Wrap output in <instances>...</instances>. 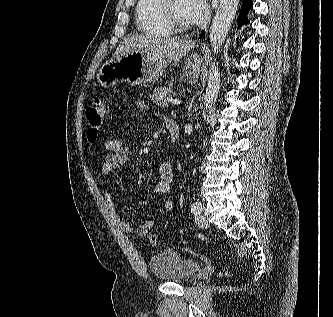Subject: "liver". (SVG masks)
<instances>
[{
    "label": "liver",
    "mask_w": 333,
    "mask_h": 317,
    "mask_svg": "<svg viewBox=\"0 0 333 317\" xmlns=\"http://www.w3.org/2000/svg\"><path fill=\"white\" fill-rule=\"evenodd\" d=\"M193 40L132 34L127 35L118 45L115 57L125 56L128 51H141L167 63H177L193 47Z\"/></svg>",
    "instance_id": "liver-1"
}]
</instances>
